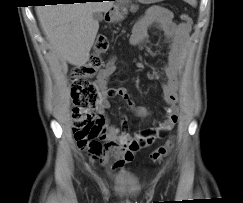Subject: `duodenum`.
Returning <instances> with one entry per match:
<instances>
[{"instance_id": "410a0bca", "label": "duodenum", "mask_w": 243, "mask_h": 203, "mask_svg": "<svg viewBox=\"0 0 243 203\" xmlns=\"http://www.w3.org/2000/svg\"><path fill=\"white\" fill-rule=\"evenodd\" d=\"M113 10H108L105 14V21L111 22L112 21Z\"/></svg>"}]
</instances>
